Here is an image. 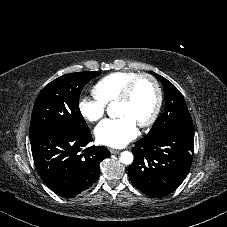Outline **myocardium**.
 Instances as JSON below:
<instances>
[{"instance_id": "obj_1", "label": "myocardium", "mask_w": 227, "mask_h": 227, "mask_svg": "<svg viewBox=\"0 0 227 227\" xmlns=\"http://www.w3.org/2000/svg\"><path fill=\"white\" fill-rule=\"evenodd\" d=\"M143 78L148 79L154 86L156 100H155V106L153 108V111L151 112L150 116L139 125L140 128H145L152 125L157 119L158 114L160 112L162 101H163V94L158 80L149 73L138 74L127 83L120 97L116 100V103H120V104L127 103L133 95V91L135 89L136 84L140 79H143Z\"/></svg>"}]
</instances>
